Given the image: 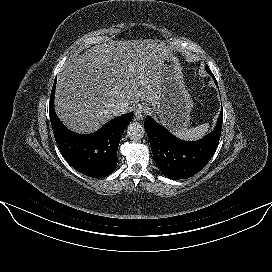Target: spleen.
Returning <instances> with one entry per match:
<instances>
[{"instance_id": "1", "label": "spleen", "mask_w": 272, "mask_h": 272, "mask_svg": "<svg viewBox=\"0 0 272 272\" xmlns=\"http://www.w3.org/2000/svg\"><path fill=\"white\" fill-rule=\"evenodd\" d=\"M209 130V124H201L196 127L190 128V129H183L177 132H174V135H176L178 138L184 139V140H198L206 135V133Z\"/></svg>"}]
</instances>
